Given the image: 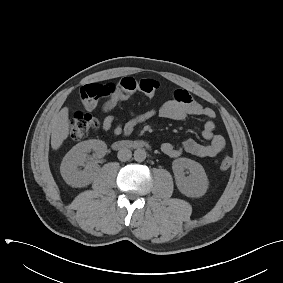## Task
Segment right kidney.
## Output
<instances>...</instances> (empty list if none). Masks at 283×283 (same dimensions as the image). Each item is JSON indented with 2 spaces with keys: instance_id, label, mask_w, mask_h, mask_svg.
I'll use <instances>...</instances> for the list:
<instances>
[{
  "instance_id": "right-kidney-1",
  "label": "right kidney",
  "mask_w": 283,
  "mask_h": 283,
  "mask_svg": "<svg viewBox=\"0 0 283 283\" xmlns=\"http://www.w3.org/2000/svg\"><path fill=\"white\" fill-rule=\"evenodd\" d=\"M93 151V156L88 153ZM107 146L100 140H87L75 145L63 158L60 172L65 182L72 187H85L94 177L97 163L94 159L105 156ZM84 166L83 170L79 169Z\"/></svg>"
}]
</instances>
